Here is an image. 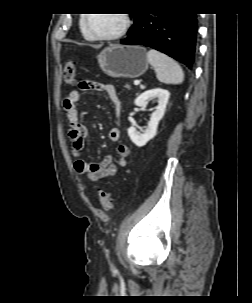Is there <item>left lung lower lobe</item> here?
Wrapping results in <instances>:
<instances>
[{
  "label": "left lung lower lobe",
  "mask_w": 252,
  "mask_h": 303,
  "mask_svg": "<svg viewBox=\"0 0 252 303\" xmlns=\"http://www.w3.org/2000/svg\"><path fill=\"white\" fill-rule=\"evenodd\" d=\"M197 34L195 13H141L122 44L154 48L192 68Z\"/></svg>",
  "instance_id": "0a47b994"
}]
</instances>
